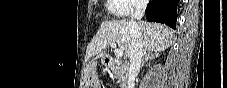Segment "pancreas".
I'll return each instance as SVG.
<instances>
[{
    "label": "pancreas",
    "instance_id": "obj_1",
    "mask_svg": "<svg viewBox=\"0 0 227 88\" xmlns=\"http://www.w3.org/2000/svg\"><path fill=\"white\" fill-rule=\"evenodd\" d=\"M112 75L115 79L118 80V82L123 85V87H126V82L128 78V73L126 68L119 66V65H113L111 67Z\"/></svg>",
    "mask_w": 227,
    "mask_h": 88
}]
</instances>
